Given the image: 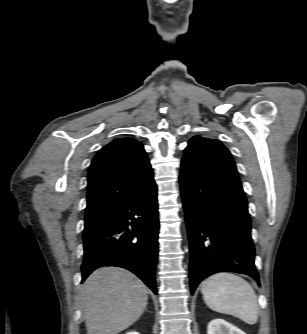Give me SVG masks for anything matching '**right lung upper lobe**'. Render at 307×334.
Wrapping results in <instances>:
<instances>
[{
	"instance_id": "right-lung-upper-lobe-1",
	"label": "right lung upper lobe",
	"mask_w": 307,
	"mask_h": 334,
	"mask_svg": "<svg viewBox=\"0 0 307 334\" xmlns=\"http://www.w3.org/2000/svg\"><path fill=\"white\" fill-rule=\"evenodd\" d=\"M152 182L143 145L131 138L113 140L90 165L85 217L103 215Z\"/></svg>"
}]
</instances>
